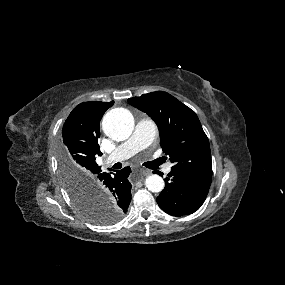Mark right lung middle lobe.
<instances>
[{
    "instance_id": "right-lung-middle-lobe-1",
    "label": "right lung middle lobe",
    "mask_w": 285,
    "mask_h": 285,
    "mask_svg": "<svg viewBox=\"0 0 285 285\" xmlns=\"http://www.w3.org/2000/svg\"><path fill=\"white\" fill-rule=\"evenodd\" d=\"M59 163L65 187L81 215L100 225L112 224L122 217L114 206L103 201L94 189L88 187V181L82 178L62 148L59 150Z\"/></svg>"
}]
</instances>
